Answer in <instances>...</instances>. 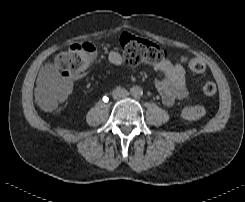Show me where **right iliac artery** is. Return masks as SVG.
<instances>
[{
	"label": "right iliac artery",
	"instance_id": "right-iliac-artery-1",
	"mask_svg": "<svg viewBox=\"0 0 245 202\" xmlns=\"http://www.w3.org/2000/svg\"><path fill=\"white\" fill-rule=\"evenodd\" d=\"M107 100H108V98L107 97H105ZM103 100H104V98H103ZM106 102V101H105Z\"/></svg>",
	"mask_w": 245,
	"mask_h": 202
}]
</instances>
